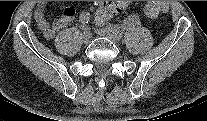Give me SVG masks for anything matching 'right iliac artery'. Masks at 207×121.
Instances as JSON below:
<instances>
[{
    "label": "right iliac artery",
    "instance_id": "obj_1",
    "mask_svg": "<svg viewBox=\"0 0 207 121\" xmlns=\"http://www.w3.org/2000/svg\"><path fill=\"white\" fill-rule=\"evenodd\" d=\"M79 21L82 24L83 28L86 30L87 24L90 21V15H89V13H86V12L85 13H82L80 15Z\"/></svg>",
    "mask_w": 207,
    "mask_h": 121
}]
</instances>
